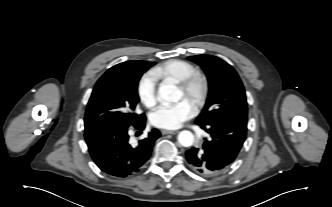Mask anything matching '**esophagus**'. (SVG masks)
<instances>
[{"mask_svg":"<svg viewBox=\"0 0 332 207\" xmlns=\"http://www.w3.org/2000/svg\"><path fill=\"white\" fill-rule=\"evenodd\" d=\"M161 133L163 135H166V134H176L177 131H171V130H162Z\"/></svg>","mask_w":332,"mask_h":207,"instance_id":"1","label":"esophagus"}]
</instances>
